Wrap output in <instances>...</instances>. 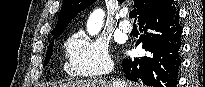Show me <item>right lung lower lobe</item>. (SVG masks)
<instances>
[{
  "instance_id": "right-lung-lower-lobe-1",
  "label": "right lung lower lobe",
  "mask_w": 205,
  "mask_h": 87,
  "mask_svg": "<svg viewBox=\"0 0 205 87\" xmlns=\"http://www.w3.org/2000/svg\"><path fill=\"white\" fill-rule=\"evenodd\" d=\"M144 28L136 45L149 52L147 56L124 59L123 71L131 81L142 80L153 87H176L181 64L182 28L174 0H164L139 18Z\"/></svg>"
}]
</instances>
